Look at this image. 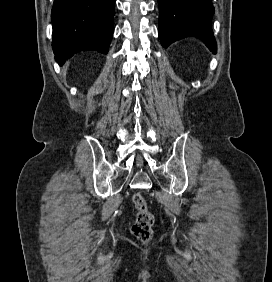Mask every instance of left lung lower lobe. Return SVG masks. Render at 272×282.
<instances>
[{
	"label": "left lung lower lobe",
	"instance_id": "left-lung-lower-lobe-1",
	"mask_svg": "<svg viewBox=\"0 0 272 282\" xmlns=\"http://www.w3.org/2000/svg\"><path fill=\"white\" fill-rule=\"evenodd\" d=\"M158 4L159 38L163 47L193 36L216 53L217 45L211 29L214 14L211 0H158Z\"/></svg>",
	"mask_w": 272,
	"mask_h": 282
}]
</instances>
